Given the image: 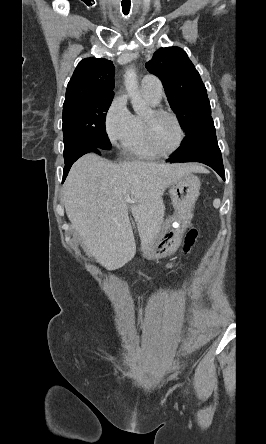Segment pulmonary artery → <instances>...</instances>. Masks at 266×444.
Wrapping results in <instances>:
<instances>
[{
    "label": "pulmonary artery",
    "mask_w": 266,
    "mask_h": 444,
    "mask_svg": "<svg viewBox=\"0 0 266 444\" xmlns=\"http://www.w3.org/2000/svg\"><path fill=\"white\" fill-rule=\"evenodd\" d=\"M141 92L153 101L159 102L163 94L162 83L154 75H145L141 81Z\"/></svg>",
    "instance_id": "obj_1"
}]
</instances>
